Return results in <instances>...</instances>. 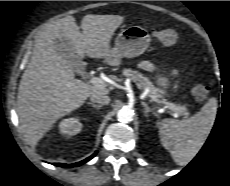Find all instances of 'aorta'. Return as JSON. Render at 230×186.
Wrapping results in <instances>:
<instances>
[{"label":"aorta","mask_w":230,"mask_h":186,"mask_svg":"<svg viewBox=\"0 0 230 186\" xmlns=\"http://www.w3.org/2000/svg\"><path fill=\"white\" fill-rule=\"evenodd\" d=\"M133 110L128 107L121 108L117 113V118L122 123H129L133 120Z\"/></svg>","instance_id":"762f6f07"}]
</instances>
